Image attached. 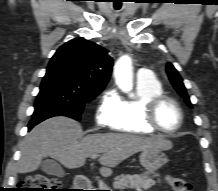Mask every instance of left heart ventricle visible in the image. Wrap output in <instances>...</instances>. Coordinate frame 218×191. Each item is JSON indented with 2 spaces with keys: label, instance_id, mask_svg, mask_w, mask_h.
I'll list each match as a JSON object with an SVG mask.
<instances>
[{
  "label": "left heart ventricle",
  "instance_id": "obj_1",
  "mask_svg": "<svg viewBox=\"0 0 218 191\" xmlns=\"http://www.w3.org/2000/svg\"><path fill=\"white\" fill-rule=\"evenodd\" d=\"M179 112L170 102L162 103L157 110V121L159 125L166 129H175L179 124Z\"/></svg>",
  "mask_w": 218,
  "mask_h": 191
}]
</instances>
